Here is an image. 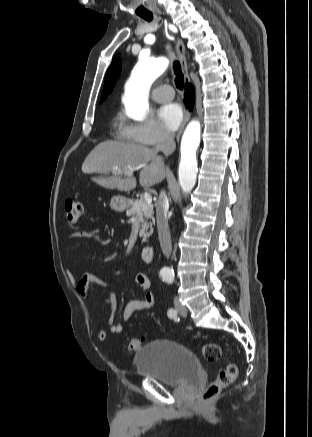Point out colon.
Instances as JSON below:
<instances>
[{
    "mask_svg": "<svg viewBox=\"0 0 312 437\" xmlns=\"http://www.w3.org/2000/svg\"><path fill=\"white\" fill-rule=\"evenodd\" d=\"M65 220L68 224L76 223L83 214L84 206L79 200L67 198L64 202ZM142 341L136 338L130 340L128 349L136 352L140 349ZM204 358L209 362L219 361L222 357V349L217 343H205L201 347ZM237 376V366L228 363L224 366L203 394L204 400H210L218 396L223 389L229 386Z\"/></svg>",
    "mask_w": 312,
    "mask_h": 437,
    "instance_id": "colon-1",
    "label": "colon"
}]
</instances>
